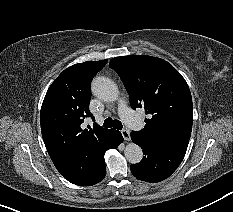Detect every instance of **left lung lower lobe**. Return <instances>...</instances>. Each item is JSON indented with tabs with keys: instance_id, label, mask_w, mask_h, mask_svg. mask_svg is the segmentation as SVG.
Instances as JSON below:
<instances>
[{
	"instance_id": "0a47b994",
	"label": "left lung lower lobe",
	"mask_w": 233,
	"mask_h": 212,
	"mask_svg": "<svg viewBox=\"0 0 233 212\" xmlns=\"http://www.w3.org/2000/svg\"><path fill=\"white\" fill-rule=\"evenodd\" d=\"M132 141L143 149L140 163L131 165L132 174L139 180L159 182L169 177L180 165L185 152L156 144L141 135L131 133Z\"/></svg>"
}]
</instances>
